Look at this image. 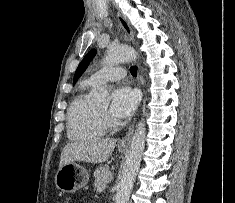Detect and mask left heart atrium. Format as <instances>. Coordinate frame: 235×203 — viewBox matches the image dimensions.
<instances>
[{"label":"left heart atrium","instance_id":"39dd6f15","mask_svg":"<svg viewBox=\"0 0 235 203\" xmlns=\"http://www.w3.org/2000/svg\"><path fill=\"white\" fill-rule=\"evenodd\" d=\"M138 101L137 91L128 86H119L113 92L109 112L117 120L126 119L136 109Z\"/></svg>","mask_w":235,"mask_h":203}]
</instances>
